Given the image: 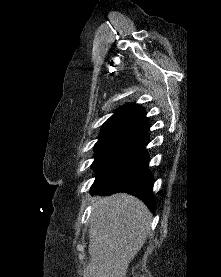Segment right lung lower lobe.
Instances as JSON below:
<instances>
[{
	"label": "right lung lower lobe",
	"mask_w": 221,
	"mask_h": 277,
	"mask_svg": "<svg viewBox=\"0 0 221 277\" xmlns=\"http://www.w3.org/2000/svg\"><path fill=\"white\" fill-rule=\"evenodd\" d=\"M142 125L147 132L145 141L119 168L104 177L96 178L92 191L98 192L101 195L126 192L137 196L154 211L153 178L149 171V158L145 149L149 139V122L146 118H144Z\"/></svg>",
	"instance_id": "1"
}]
</instances>
